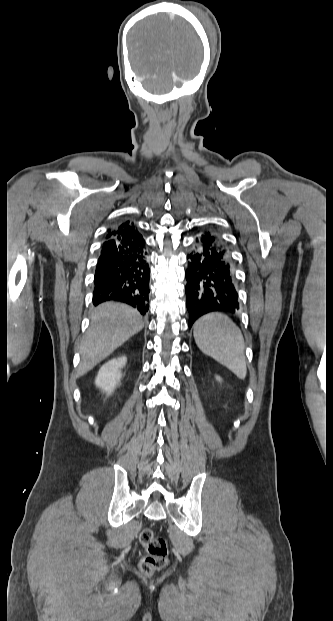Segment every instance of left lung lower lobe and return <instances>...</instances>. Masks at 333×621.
<instances>
[{
    "instance_id": "1",
    "label": "left lung lower lobe",
    "mask_w": 333,
    "mask_h": 621,
    "mask_svg": "<svg viewBox=\"0 0 333 621\" xmlns=\"http://www.w3.org/2000/svg\"><path fill=\"white\" fill-rule=\"evenodd\" d=\"M187 310L189 327L200 316L221 311L234 313L239 309L238 293L230 251L214 233L206 231L196 238L187 256Z\"/></svg>"
}]
</instances>
